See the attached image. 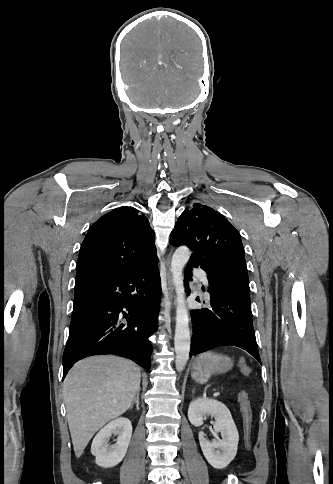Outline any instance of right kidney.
<instances>
[{
	"mask_svg": "<svg viewBox=\"0 0 333 484\" xmlns=\"http://www.w3.org/2000/svg\"><path fill=\"white\" fill-rule=\"evenodd\" d=\"M112 434L118 435L114 445H109ZM132 436L131 421L118 418L108 423L93 439L91 453L96 457L95 462L102 468L118 465L126 455Z\"/></svg>",
	"mask_w": 333,
	"mask_h": 484,
	"instance_id": "ca27d5eb",
	"label": "right kidney"
}]
</instances>
